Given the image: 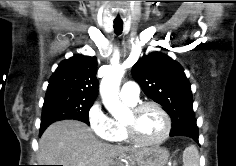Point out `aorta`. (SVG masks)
<instances>
[{
  "label": "aorta",
  "instance_id": "1",
  "mask_svg": "<svg viewBox=\"0 0 236 166\" xmlns=\"http://www.w3.org/2000/svg\"><path fill=\"white\" fill-rule=\"evenodd\" d=\"M124 72V69L121 67L112 68L100 84V94L103 104L115 118L122 116L128 111V108L121 103L118 96L120 82Z\"/></svg>",
  "mask_w": 236,
  "mask_h": 166
}]
</instances>
